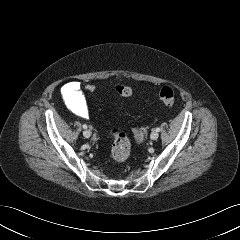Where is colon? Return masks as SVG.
Listing matches in <instances>:
<instances>
[{
	"mask_svg": "<svg viewBox=\"0 0 240 240\" xmlns=\"http://www.w3.org/2000/svg\"><path fill=\"white\" fill-rule=\"evenodd\" d=\"M85 91L92 94L96 91V86L93 83L85 85ZM115 92L122 97H129L132 95V89L127 85H117ZM159 100L166 106L172 107L175 103V94L171 87L164 86L159 92ZM114 142L112 146V157L116 162H124L128 159L131 153V144L128 137L118 131L111 132Z\"/></svg>",
	"mask_w": 240,
	"mask_h": 240,
	"instance_id": "colon-1",
	"label": "colon"
}]
</instances>
